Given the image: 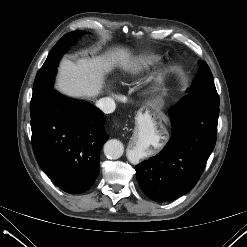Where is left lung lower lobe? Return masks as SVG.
I'll return each mask as SVG.
<instances>
[{
  "mask_svg": "<svg viewBox=\"0 0 247 247\" xmlns=\"http://www.w3.org/2000/svg\"><path fill=\"white\" fill-rule=\"evenodd\" d=\"M219 102L189 93L171 109L172 135L156 156L136 166L138 183L157 202L172 201L199 180L216 143Z\"/></svg>",
  "mask_w": 247,
  "mask_h": 247,
  "instance_id": "1",
  "label": "left lung lower lobe"
}]
</instances>
